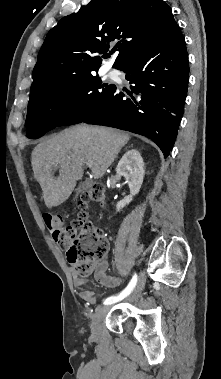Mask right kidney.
<instances>
[{
  "label": "right kidney",
  "instance_id": "1",
  "mask_svg": "<svg viewBox=\"0 0 221 379\" xmlns=\"http://www.w3.org/2000/svg\"><path fill=\"white\" fill-rule=\"evenodd\" d=\"M144 172V162L137 150H129L122 156L116 167V173L125 178L130 188V195L117 203V211L128 205L133 200V197L139 193L143 183Z\"/></svg>",
  "mask_w": 221,
  "mask_h": 379
}]
</instances>
